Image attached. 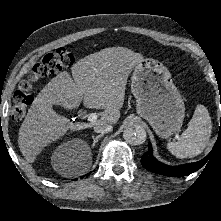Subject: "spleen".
<instances>
[{
	"label": "spleen",
	"mask_w": 221,
	"mask_h": 221,
	"mask_svg": "<svg viewBox=\"0 0 221 221\" xmlns=\"http://www.w3.org/2000/svg\"><path fill=\"white\" fill-rule=\"evenodd\" d=\"M212 123L207 108L198 104L188 128L177 141L168 142L167 149L177 158H192L207 146L211 136Z\"/></svg>",
	"instance_id": "3e777b00"
}]
</instances>
